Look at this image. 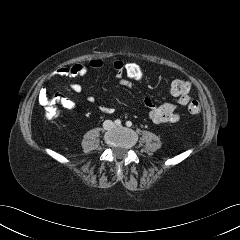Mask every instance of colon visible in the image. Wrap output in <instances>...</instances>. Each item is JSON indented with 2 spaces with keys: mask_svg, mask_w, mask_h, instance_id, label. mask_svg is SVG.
I'll use <instances>...</instances> for the list:
<instances>
[{
  "mask_svg": "<svg viewBox=\"0 0 240 240\" xmlns=\"http://www.w3.org/2000/svg\"><path fill=\"white\" fill-rule=\"evenodd\" d=\"M145 74L144 67L141 63L136 60H130L124 62L123 75L131 82L140 81ZM191 89V83L188 80L176 79L171 83L170 91L175 97H179L188 94ZM188 111L191 114H198L201 112V105L198 101L190 99L187 104ZM58 115V111L55 108H48L47 116L54 118Z\"/></svg>",
  "mask_w": 240,
  "mask_h": 240,
  "instance_id": "colon-1",
  "label": "colon"
}]
</instances>
